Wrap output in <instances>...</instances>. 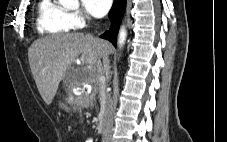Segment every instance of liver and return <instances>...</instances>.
<instances>
[{
  "mask_svg": "<svg viewBox=\"0 0 227 142\" xmlns=\"http://www.w3.org/2000/svg\"><path fill=\"white\" fill-rule=\"evenodd\" d=\"M111 50L109 42L83 33L56 34L34 41L28 49L29 65L44 102L51 104L59 83L80 54L88 77H92L98 59L108 56Z\"/></svg>",
  "mask_w": 227,
  "mask_h": 142,
  "instance_id": "6515ba94",
  "label": "liver"
}]
</instances>
